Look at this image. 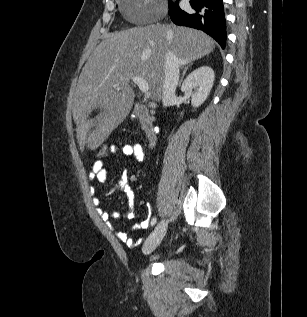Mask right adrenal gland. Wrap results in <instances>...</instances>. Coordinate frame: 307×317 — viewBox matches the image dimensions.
Segmentation results:
<instances>
[{
  "instance_id": "right-adrenal-gland-1",
  "label": "right adrenal gland",
  "mask_w": 307,
  "mask_h": 317,
  "mask_svg": "<svg viewBox=\"0 0 307 317\" xmlns=\"http://www.w3.org/2000/svg\"><path fill=\"white\" fill-rule=\"evenodd\" d=\"M191 65H193V62H192V63H190L187 67H185V68H184L183 73H182V77H181V79H180L179 84H181V83H182L183 78H184V76H185V73H186L187 69H188Z\"/></svg>"
}]
</instances>
